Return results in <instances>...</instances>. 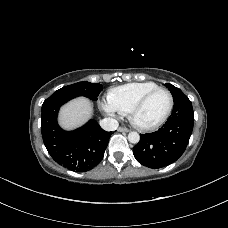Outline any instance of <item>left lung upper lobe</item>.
Returning <instances> with one entry per match:
<instances>
[{"label":"left lung upper lobe","instance_id":"5c2ea615","mask_svg":"<svg viewBox=\"0 0 228 228\" xmlns=\"http://www.w3.org/2000/svg\"><path fill=\"white\" fill-rule=\"evenodd\" d=\"M167 88L171 92L174 102L178 99L186 97V95L177 87L173 86L172 84H166Z\"/></svg>","mask_w":228,"mask_h":228}]
</instances>
